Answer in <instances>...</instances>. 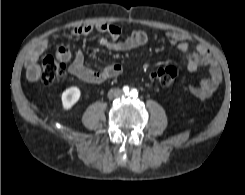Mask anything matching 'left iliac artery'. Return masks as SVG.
Instances as JSON below:
<instances>
[{"label": "left iliac artery", "mask_w": 245, "mask_h": 195, "mask_svg": "<svg viewBox=\"0 0 245 195\" xmlns=\"http://www.w3.org/2000/svg\"><path fill=\"white\" fill-rule=\"evenodd\" d=\"M136 93V90H132V95H134Z\"/></svg>", "instance_id": "left-iliac-artery-1"}]
</instances>
